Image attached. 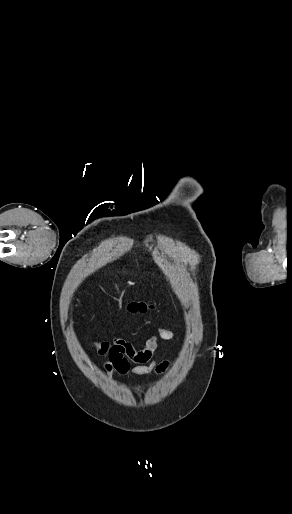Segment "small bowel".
I'll return each instance as SVG.
<instances>
[{
  "label": "small bowel",
  "instance_id": "small-bowel-1",
  "mask_svg": "<svg viewBox=\"0 0 292 514\" xmlns=\"http://www.w3.org/2000/svg\"><path fill=\"white\" fill-rule=\"evenodd\" d=\"M175 336V331L160 327L157 334L149 336L144 348L138 350L131 342L118 337L115 327L111 339L91 345L98 354L108 356L103 368L109 379L114 371L123 376L161 375L168 370L170 363L154 359V353L160 340H172Z\"/></svg>",
  "mask_w": 292,
  "mask_h": 514
}]
</instances>
